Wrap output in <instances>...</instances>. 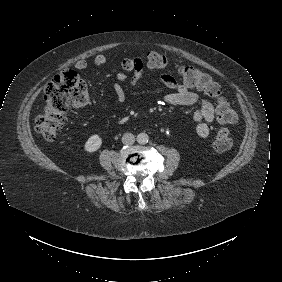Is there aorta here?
I'll use <instances>...</instances> for the list:
<instances>
[{"instance_id":"aorta-1","label":"aorta","mask_w":282,"mask_h":282,"mask_svg":"<svg viewBox=\"0 0 282 282\" xmlns=\"http://www.w3.org/2000/svg\"><path fill=\"white\" fill-rule=\"evenodd\" d=\"M148 140H149V136L145 132H141L136 136V141L140 145L146 144Z\"/></svg>"}]
</instances>
